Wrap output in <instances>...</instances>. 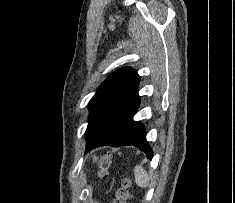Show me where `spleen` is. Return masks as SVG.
I'll use <instances>...</instances> for the list:
<instances>
[{
    "mask_svg": "<svg viewBox=\"0 0 235 203\" xmlns=\"http://www.w3.org/2000/svg\"><path fill=\"white\" fill-rule=\"evenodd\" d=\"M135 182L138 186L146 188L149 184V175L141 165L134 169Z\"/></svg>",
    "mask_w": 235,
    "mask_h": 203,
    "instance_id": "obj_1",
    "label": "spleen"
}]
</instances>
